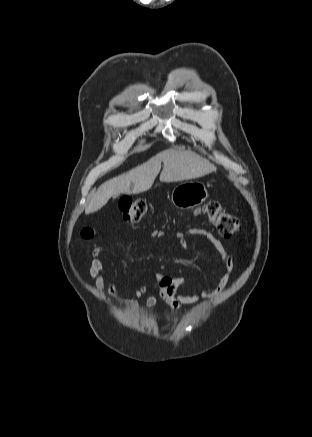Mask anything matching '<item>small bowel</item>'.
Here are the masks:
<instances>
[{
	"label": "small bowel",
	"instance_id": "obj_1",
	"mask_svg": "<svg viewBox=\"0 0 312 437\" xmlns=\"http://www.w3.org/2000/svg\"><path fill=\"white\" fill-rule=\"evenodd\" d=\"M198 235L205 236L217 250L220 256L222 268L217 283L195 294H182L179 293V290L188 286L187 280L184 277L172 278L158 273L155 276V291L146 298V307L148 310L152 311L155 308L158 300L161 299L165 302L171 312H175L182 305H189L203 299H209L220 293L226 287L233 270V259L232 256L222 246L221 242L217 240L212 233L198 228L188 229L185 232L177 231L175 233V236L182 247L186 246V236ZM151 236L158 238L163 237L164 232L156 229L151 232ZM103 249V246L100 244L94 245L89 275L95 282L98 291L107 292L112 298L120 300L115 283L105 282L103 276ZM147 292L148 287L146 285H142L134 291V295L138 298ZM126 303L131 308H136L138 305L136 300H127Z\"/></svg>",
	"mask_w": 312,
	"mask_h": 437
}]
</instances>
